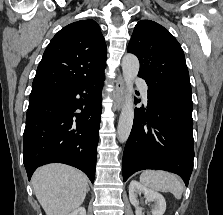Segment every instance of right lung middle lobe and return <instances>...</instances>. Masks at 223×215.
Masks as SVG:
<instances>
[{
  "mask_svg": "<svg viewBox=\"0 0 223 215\" xmlns=\"http://www.w3.org/2000/svg\"><path fill=\"white\" fill-rule=\"evenodd\" d=\"M59 95H52V94H44V95H30L29 96V105L48 101L52 98H55Z\"/></svg>",
  "mask_w": 223,
  "mask_h": 215,
  "instance_id": "right-lung-middle-lobe-1",
  "label": "right lung middle lobe"
}]
</instances>
